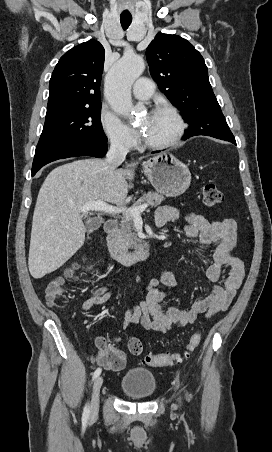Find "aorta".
<instances>
[{
    "label": "aorta",
    "instance_id": "obj_1",
    "mask_svg": "<svg viewBox=\"0 0 272 452\" xmlns=\"http://www.w3.org/2000/svg\"><path fill=\"white\" fill-rule=\"evenodd\" d=\"M144 69L145 63L140 56L126 54L108 72L105 96L117 114L130 117L136 111L131 100V86Z\"/></svg>",
    "mask_w": 272,
    "mask_h": 452
}]
</instances>
